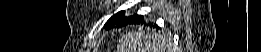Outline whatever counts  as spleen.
<instances>
[{
    "mask_svg": "<svg viewBox=\"0 0 261 52\" xmlns=\"http://www.w3.org/2000/svg\"><path fill=\"white\" fill-rule=\"evenodd\" d=\"M129 35H130V33H128V36ZM135 44H137L139 46L142 45L141 42L139 44L137 42H135ZM166 46H167V44H164L161 40H159V37H158V38H155L154 46H153V48L151 50H152V52H165V47ZM141 52H151V51L147 47V49H144Z\"/></svg>",
    "mask_w": 261,
    "mask_h": 52,
    "instance_id": "obj_1",
    "label": "spleen"
}]
</instances>
